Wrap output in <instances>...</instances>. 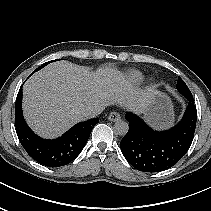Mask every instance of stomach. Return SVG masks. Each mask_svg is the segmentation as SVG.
<instances>
[{
	"label": "stomach",
	"instance_id": "0dacf381",
	"mask_svg": "<svg viewBox=\"0 0 211 211\" xmlns=\"http://www.w3.org/2000/svg\"><path fill=\"white\" fill-rule=\"evenodd\" d=\"M144 118L157 128L169 127L174 120L173 107L169 97L155 90L151 103L144 112Z\"/></svg>",
	"mask_w": 211,
	"mask_h": 211
}]
</instances>
